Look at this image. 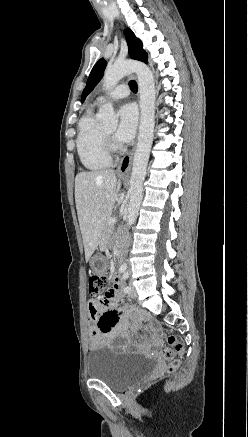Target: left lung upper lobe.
Wrapping results in <instances>:
<instances>
[{
  "mask_svg": "<svg viewBox=\"0 0 248 437\" xmlns=\"http://www.w3.org/2000/svg\"><path fill=\"white\" fill-rule=\"evenodd\" d=\"M126 36V41L128 43L129 55L132 59H136L142 62L147 63V53L142 48V42L135 37L134 33L130 29H126L124 31ZM107 66V61L103 58L100 59L93 67L86 87L83 90L82 101L86 98V96L94 89L97 83L101 80L104 70Z\"/></svg>",
  "mask_w": 248,
  "mask_h": 437,
  "instance_id": "5c2ea615",
  "label": "left lung upper lobe"
}]
</instances>
